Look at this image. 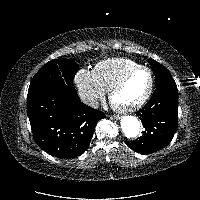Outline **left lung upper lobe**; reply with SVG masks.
I'll return each instance as SVG.
<instances>
[{"label":"left lung upper lobe","instance_id":"obj_1","mask_svg":"<svg viewBox=\"0 0 200 200\" xmlns=\"http://www.w3.org/2000/svg\"><path fill=\"white\" fill-rule=\"evenodd\" d=\"M149 62L156 78V88L160 86H176L174 79L164 66L153 59H150Z\"/></svg>","mask_w":200,"mask_h":200}]
</instances>
